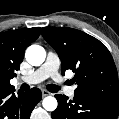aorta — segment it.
<instances>
[{"label": "aorta", "instance_id": "obj_1", "mask_svg": "<svg viewBox=\"0 0 119 119\" xmlns=\"http://www.w3.org/2000/svg\"><path fill=\"white\" fill-rule=\"evenodd\" d=\"M25 57L32 66H39L45 61L46 51L42 46L31 45L27 48ZM57 104L56 98L52 96L45 97L42 102L44 109L47 111H54L57 108Z\"/></svg>", "mask_w": 119, "mask_h": 119}]
</instances>
